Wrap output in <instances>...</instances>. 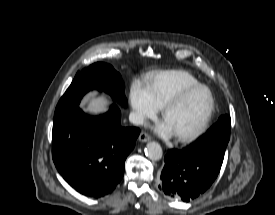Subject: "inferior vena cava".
Instances as JSON below:
<instances>
[{
  "mask_svg": "<svg viewBox=\"0 0 275 215\" xmlns=\"http://www.w3.org/2000/svg\"><path fill=\"white\" fill-rule=\"evenodd\" d=\"M129 121L136 125H142L144 123V117L136 112H131L129 114Z\"/></svg>",
  "mask_w": 275,
  "mask_h": 215,
  "instance_id": "inferior-vena-cava-1",
  "label": "inferior vena cava"
}]
</instances>
